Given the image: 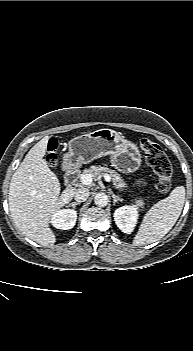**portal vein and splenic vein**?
Here are the masks:
<instances>
[{
	"label": "portal vein and splenic vein",
	"mask_w": 193,
	"mask_h": 351,
	"mask_svg": "<svg viewBox=\"0 0 193 351\" xmlns=\"http://www.w3.org/2000/svg\"><path fill=\"white\" fill-rule=\"evenodd\" d=\"M103 177L107 182L111 181L109 174H104ZM80 180L83 185H89L93 182V176L91 174H84L80 177Z\"/></svg>",
	"instance_id": "18ae733b"
}]
</instances>
